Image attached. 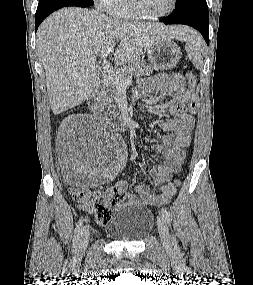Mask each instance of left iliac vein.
Masks as SVG:
<instances>
[{
  "label": "left iliac vein",
  "instance_id": "left-iliac-vein-1",
  "mask_svg": "<svg viewBox=\"0 0 253 285\" xmlns=\"http://www.w3.org/2000/svg\"><path fill=\"white\" fill-rule=\"evenodd\" d=\"M157 226L162 244L165 248H171L172 242L166 220L163 216L157 218Z\"/></svg>",
  "mask_w": 253,
  "mask_h": 285
}]
</instances>
